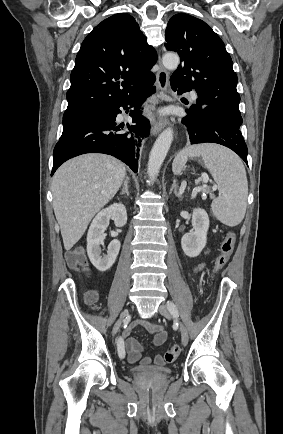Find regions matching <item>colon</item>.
Segmentation results:
<instances>
[{
    "instance_id": "5ec220e1",
    "label": "colon",
    "mask_w": 283,
    "mask_h": 434,
    "mask_svg": "<svg viewBox=\"0 0 283 434\" xmlns=\"http://www.w3.org/2000/svg\"><path fill=\"white\" fill-rule=\"evenodd\" d=\"M235 241H236V235L234 232H228L224 236V238L221 242V245H220L219 253H218V255L214 261V272L215 273H218L219 271H221L224 268V266L226 265V263L228 262L231 254H232V251H233V248L235 245ZM67 263L71 269H74L77 271L84 270L86 267L85 256L80 251L71 252L67 257ZM87 298L90 302L95 301V296L91 293L88 295ZM179 353H180L179 347L173 346L166 351L165 360L167 362H173L174 360L177 359V357L179 356Z\"/></svg>"
}]
</instances>
